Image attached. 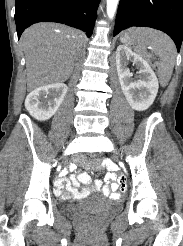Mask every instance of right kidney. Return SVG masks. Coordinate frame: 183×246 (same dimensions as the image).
<instances>
[{
	"label": "right kidney",
	"mask_w": 183,
	"mask_h": 246,
	"mask_svg": "<svg viewBox=\"0 0 183 246\" xmlns=\"http://www.w3.org/2000/svg\"><path fill=\"white\" fill-rule=\"evenodd\" d=\"M67 92L64 83H53L30 92L25 100L29 114L39 121L50 119L60 107Z\"/></svg>",
	"instance_id": "ca27d5eb"
}]
</instances>
